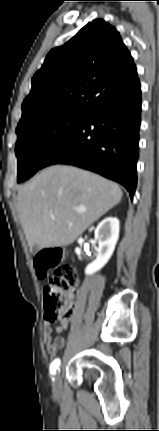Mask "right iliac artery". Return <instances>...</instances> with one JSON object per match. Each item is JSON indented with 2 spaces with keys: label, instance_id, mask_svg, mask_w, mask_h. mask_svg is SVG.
<instances>
[{
  "label": "right iliac artery",
  "instance_id": "82829eb1",
  "mask_svg": "<svg viewBox=\"0 0 159 431\" xmlns=\"http://www.w3.org/2000/svg\"><path fill=\"white\" fill-rule=\"evenodd\" d=\"M59 365H60V359H55V360L51 363V366H50V373H51V374H55V372H56L57 368L59 367Z\"/></svg>",
  "mask_w": 159,
  "mask_h": 431
}]
</instances>
